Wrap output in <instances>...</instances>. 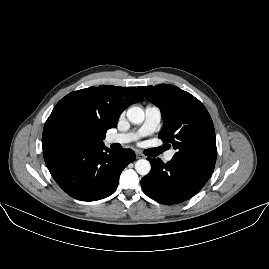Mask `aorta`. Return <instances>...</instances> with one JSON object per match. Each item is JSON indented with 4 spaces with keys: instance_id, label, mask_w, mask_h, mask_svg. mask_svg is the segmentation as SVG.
<instances>
[{
    "instance_id": "1",
    "label": "aorta",
    "mask_w": 269,
    "mask_h": 269,
    "mask_svg": "<svg viewBox=\"0 0 269 269\" xmlns=\"http://www.w3.org/2000/svg\"><path fill=\"white\" fill-rule=\"evenodd\" d=\"M127 118L133 124H141L145 119L144 110L141 107L133 106L127 110ZM135 170L142 176L147 175L151 170L150 162L146 159L137 160Z\"/></svg>"
}]
</instances>
